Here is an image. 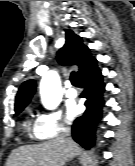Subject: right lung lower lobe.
Returning <instances> with one entry per match:
<instances>
[{
    "label": "right lung lower lobe",
    "mask_w": 135,
    "mask_h": 166,
    "mask_svg": "<svg viewBox=\"0 0 135 166\" xmlns=\"http://www.w3.org/2000/svg\"><path fill=\"white\" fill-rule=\"evenodd\" d=\"M83 92L80 97L85 98V112L72 125L73 139L88 149L94 146L96 125L101 119L104 106L103 93L105 84L97 60L78 74Z\"/></svg>",
    "instance_id": "right-lung-lower-lobe-1"
}]
</instances>
